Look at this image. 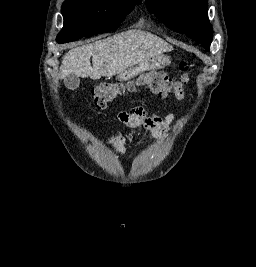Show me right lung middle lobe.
<instances>
[{
  "label": "right lung middle lobe",
  "instance_id": "1",
  "mask_svg": "<svg viewBox=\"0 0 256 267\" xmlns=\"http://www.w3.org/2000/svg\"><path fill=\"white\" fill-rule=\"evenodd\" d=\"M141 0H66L62 5L64 27L57 36L66 43L119 27Z\"/></svg>",
  "mask_w": 256,
  "mask_h": 267
}]
</instances>
